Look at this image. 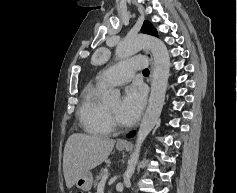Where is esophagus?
I'll return each mask as SVG.
<instances>
[{"instance_id": "esophagus-1", "label": "esophagus", "mask_w": 237, "mask_h": 193, "mask_svg": "<svg viewBox=\"0 0 237 193\" xmlns=\"http://www.w3.org/2000/svg\"><path fill=\"white\" fill-rule=\"evenodd\" d=\"M145 53H146V55H147L148 58H149L150 65H151V74H152V69H153V58H152V54H151L149 51H146ZM151 74H150V78H151ZM118 144H119V145H127V142H126V141H123V140H119V141H118Z\"/></svg>"}]
</instances>
